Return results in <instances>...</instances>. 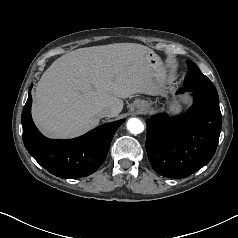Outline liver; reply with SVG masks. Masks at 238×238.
Here are the masks:
<instances>
[{"label": "liver", "mask_w": 238, "mask_h": 238, "mask_svg": "<svg viewBox=\"0 0 238 238\" xmlns=\"http://www.w3.org/2000/svg\"><path fill=\"white\" fill-rule=\"evenodd\" d=\"M147 47L115 43L71 51L44 72L33 96L32 118L43 134L72 138L94 128L99 110L113 109L134 94L154 95L162 83L161 70L146 57Z\"/></svg>", "instance_id": "6515ba94"}]
</instances>
